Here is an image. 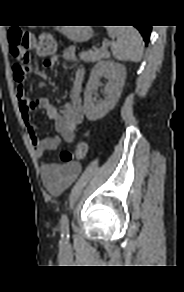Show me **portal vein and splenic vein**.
I'll return each instance as SVG.
<instances>
[{"label":"portal vein and splenic vein","mask_w":184,"mask_h":292,"mask_svg":"<svg viewBox=\"0 0 184 292\" xmlns=\"http://www.w3.org/2000/svg\"><path fill=\"white\" fill-rule=\"evenodd\" d=\"M102 49H103V50H106V47H105V46H103V47H102Z\"/></svg>","instance_id":"1"}]
</instances>
